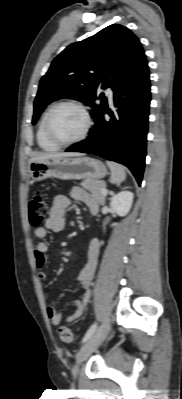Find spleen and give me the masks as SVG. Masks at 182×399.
Returning <instances> with one entry per match:
<instances>
[{
	"instance_id": "obj_1",
	"label": "spleen",
	"mask_w": 182,
	"mask_h": 399,
	"mask_svg": "<svg viewBox=\"0 0 182 399\" xmlns=\"http://www.w3.org/2000/svg\"><path fill=\"white\" fill-rule=\"evenodd\" d=\"M107 165L111 170V180L114 183H120L125 180L126 173L125 168L122 165L111 161H107Z\"/></svg>"
}]
</instances>
